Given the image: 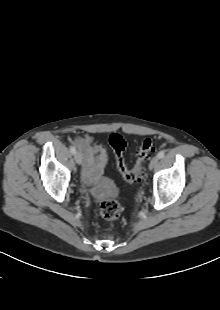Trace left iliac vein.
I'll use <instances>...</instances> for the list:
<instances>
[{
  "mask_svg": "<svg viewBox=\"0 0 220 310\" xmlns=\"http://www.w3.org/2000/svg\"><path fill=\"white\" fill-rule=\"evenodd\" d=\"M158 162H159L158 156L153 157L149 163V169L150 170L154 169L158 165Z\"/></svg>",
  "mask_w": 220,
  "mask_h": 310,
  "instance_id": "left-iliac-vein-1",
  "label": "left iliac vein"
}]
</instances>
